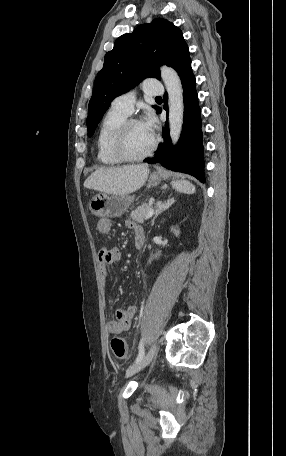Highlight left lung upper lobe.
Segmentation results:
<instances>
[{
    "mask_svg": "<svg viewBox=\"0 0 286 456\" xmlns=\"http://www.w3.org/2000/svg\"><path fill=\"white\" fill-rule=\"evenodd\" d=\"M190 60L182 31L166 19L156 18L120 36L106 53L103 68L95 79L88 106V136L94 134L114 98L147 77L159 79L160 64L178 72ZM154 108L158 110L157 106Z\"/></svg>",
    "mask_w": 286,
    "mask_h": 456,
    "instance_id": "left-lung-upper-lobe-1",
    "label": "left lung upper lobe"
}]
</instances>
